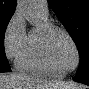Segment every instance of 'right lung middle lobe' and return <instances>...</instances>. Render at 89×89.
<instances>
[{
  "mask_svg": "<svg viewBox=\"0 0 89 89\" xmlns=\"http://www.w3.org/2000/svg\"><path fill=\"white\" fill-rule=\"evenodd\" d=\"M13 14L0 13V69L10 68L4 51V34Z\"/></svg>",
  "mask_w": 89,
  "mask_h": 89,
  "instance_id": "1",
  "label": "right lung middle lobe"
}]
</instances>
